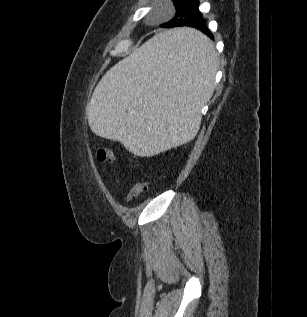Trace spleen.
<instances>
[{
	"label": "spleen",
	"instance_id": "spleen-1",
	"mask_svg": "<svg viewBox=\"0 0 307 317\" xmlns=\"http://www.w3.org/2000/svg\"><path fill=\"white\" fill-rule=\"evenodd\" d=\"M215 65L212 42L200 29H162L100 82L91 97L92 131L133 155H167L197 134Z\"/></svg>",
	"mask_w": 307,
	"mask_h": 317
}]
</instances>
